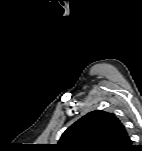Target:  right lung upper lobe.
I'll use <instances>...</instances> for the list:
<instances>
[{
    "label": "right lung upper lobe",
    "instance_id": "obj_1",
    "mask_svg": "<svg viewBox=\"0 0 142 151\" xmlns=\"http://www.w3.org/2000/svg\"><path fill=\"white\" fill-rule=\"evenodd\" d=\"M123 124L112 113L92 111L61 136L56 149L59 151H128L135 149Z\"/></svg>",
    "mask_w": 142,
    "mask_h": 151
}]
</instances>
